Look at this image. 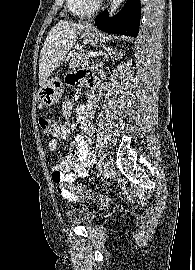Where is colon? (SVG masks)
Masks as SVG:
<instances>
[{
	"instance_id": "5ec220e1",
	"label": "colon",
	"mask_w": 195,
	"mask_h": 270,
	"mask_svg": "<svg viewBox=\"0 0 195 270\" xmlns=\"http://www.w3.org/2000/svg\"><path fill=\"white\" fill-rule=\"evenodd\" d=\"M39 125L45 133L50 134L57 123L54 118L42 116L39 118ZM75 192L81 197H87L101 204H108L110 202L109 198L99 195L84 186H76Z\"/></svg>"
}]
</instances>
